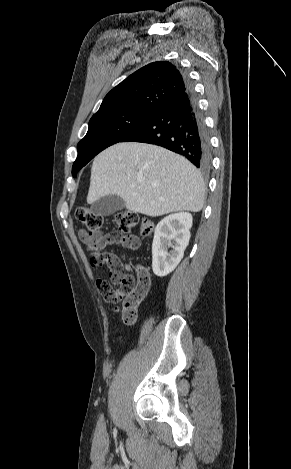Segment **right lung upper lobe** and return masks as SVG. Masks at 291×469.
Listing matches in <instances>:
<instances>
[{"label":"right lung upper lobe","mask_w":291,"mask_h":469,"mask_svg":"<svg viewBox=\"0 0 291 469\" xmlns=\"http://www.w3.org/2000/svg\"><path fill=\"white\" fill-rule=\"evenodd\" d=\"M186 88L185 76L174 65L167 61L153 62L113 88L92 118L131 109L155 111Z\"/></svg>","instance_id":"cb5924a9"}]
</instances>
